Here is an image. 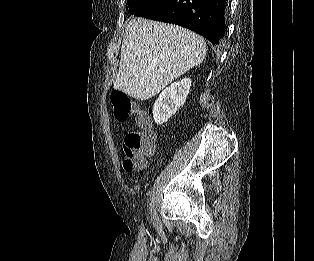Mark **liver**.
I'll list each match as a JSON object with an SVG mask.
<instances>
[{"mask_svg":"<svg viewBox=\"0 0 314 261\" xmlns=\"http://www.w3.org/2000/svg\"><path fill=\"white\" fill-rule=\"evenodd\" d=\"M205 55L201 36L177 25L133 17L126 25L114 88L148 100L200 65Z\"/></svg>","mask_w":314,"mask_h":261,"instance_id":"1","label":"liver"}]
</instances>
